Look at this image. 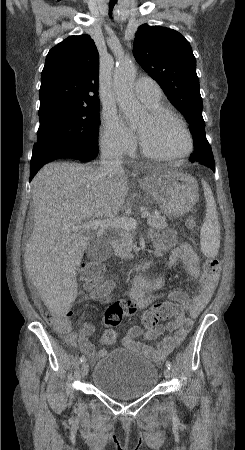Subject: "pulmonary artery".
<instances>
[{
    "label": "pulmonary artery",
    "instance_id": "obj_1",
    "mask_svg": "<svg viewBox=\"0 0 245 450\" xmlns=\"http://www.w3.org/2000/svg\"><path fill=\"white\" fill-rule=\"evenodd\" d=\"M133 93L149 107L158 105L162 97L160 86L150 77L138 79L133 85Z\"/></svg>",
    "mask_w": 245,
    "mask_h": 450
}]
</instances>
